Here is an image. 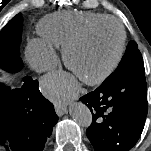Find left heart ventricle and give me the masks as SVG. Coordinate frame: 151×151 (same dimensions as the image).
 <instances>
[{"label":"left heart ventricle","mask_w":151,"mask_h":151,"mask_svg":"<svg viewBox=\"0 0 151 151\" xmlns=\"http://www.w3.org/2000/svg\"><path fill=\"white\" fill-rule=\"evenodd\" d=\"M119 30L113 23L94 29L70 54L72 71L81 80L101 73L113 61L119 46Z\"/></svg>","instance_id":"obj_1"}]
</instances>
